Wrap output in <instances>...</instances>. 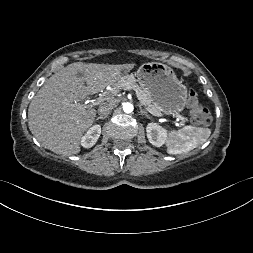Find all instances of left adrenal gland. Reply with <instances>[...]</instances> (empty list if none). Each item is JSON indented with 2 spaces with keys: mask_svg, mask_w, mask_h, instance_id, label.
Instances as JSON below:
<instances>
[{
  "mask_svg": "<svg viewBox=\"0 0 253 253\" xmlns=\"http://www.w3.org/2000/svg\"><path fill=\"white\" fill-rule=\"evenodd\" d=\"M139 108H140V113H141L142 115H145L146 117L150 118V115L147 113V111H145L144 109H142L141 106H139Z\"/></svg>",
  "mask_w": 253,
  "mask_h": 253,
  "instance_id": "obj_1",
  "label": "left adrenal gland"
}]
</instances>
